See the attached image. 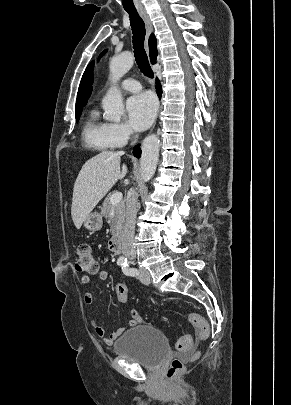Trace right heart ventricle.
Returning <instances> with one entry per match:
<instances>
[{"mask_svg": "<svg viewBox=\"0 0 291 405\" xmlns=\"http://www.w3.org/2000/svg\"><path fill=\"white\" fill-rule=\"evenodd\" d=\"M82 135L85 143L97 150L104 151L114 147L108 135V123L100 119L96 110L88 113Z\"/></svg>", "mask_w": 291, "mask_h": 405, "instance_id": "right-heart-ventricle-1", "label": "right heart ventricle"}]
</instances>
